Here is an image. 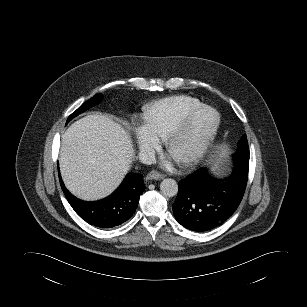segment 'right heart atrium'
Segmentation results:
<instances>
[{
	"mask_svg": "<svg viewBox=\"0 0 307 307\" xmlns=\"http://www.w3.org/2000/svg\"><path fill=\"white\" fill-rule=\"evenodd\" d=\"M136 137L142 157L146 159L151 158L159 147V141L150 135L144 126L136 128Z\"/></svg>",
	"mask_w": 307,
	"mask_h": 307,
	"instance_id": "right-heart-atrium-1",
	"label": "right heart atrium"
}]
</instances>
